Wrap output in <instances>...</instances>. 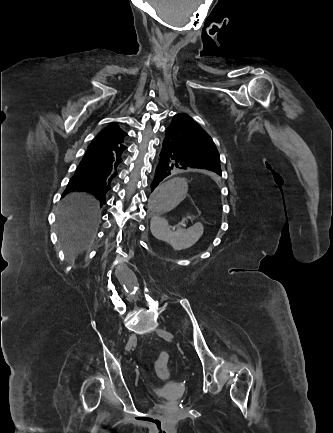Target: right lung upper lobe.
<instances>
[{"label":"right lung upper lobe","mask_w":333,"mask_h":433,"mask_svg":"<svg viewBox=\"0 0 333 433\" xmlns=\"http://www.w3.org/2000/svg\"><path fill=\"white\" fill-rule=\"evenodd\" d=\"M126 135L127 133L113 123L101 130L95 138V141H97L100 146L117 147L123 145Z\"/></svg>","instance_id":"cb5924a9"}]
</instances>
